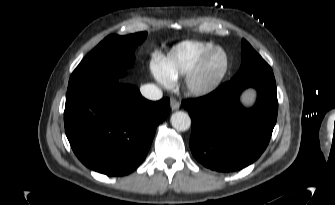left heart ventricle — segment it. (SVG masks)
I'll return each mask as SVG.
<instances>
[{"instance_id": "obj_1", "label": "left heart ventricle", "mask_w": 335, "mask_h": 205, "mask_svg": "<svg viewBox=\"0 0 335 205\" xmlns=\"http://www.w3.org/2000/svg\"><path fill=\"white\" fill-rule=\"evenodd\" d=\"M224 64V58L222 54L218 53L214 55L208 63V66L204 73V79L208 80L215 77L222 69Z\"/></svg>"}]
</instances>
